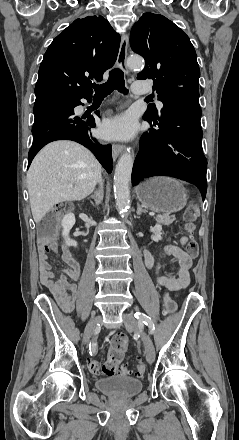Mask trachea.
I'll use <instances>...</instances> for the list:
<instances>
[{"label": "trachea", "mask_w": 239, "mask_h": 440, "mask_svg": "<svg viewBox=\"0 0 239 440\" xmlns=\"http://www.w3.org/2000/svg\"><path fill=\"white\" fill-rule=\"evenodd\" d=\"M95 90L94 98L104 99L107 95H110L114 90H118L121 93L127 94L128 90L125 87L124 73L119 68H114L109 73V78L106 83L101 85H93Z\"/></svg>", "instance_id": "3493384b"}]
</instances>
